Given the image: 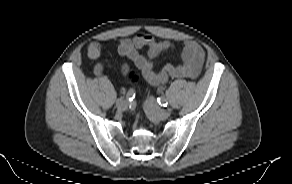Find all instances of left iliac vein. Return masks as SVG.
I'll list each match as a JSON object with an SVG mask.
<instances>
[{
    "label": "left iliac vein",
    "instance_id": "4c4485c4",
    "mask_svg": "<svg viewBox=\"0 0 292 184\" xmlns=\"http://www.w3.org/2000/svg\"><path fill=\"white\" fill-rule=\"evenodd\" d=\"M143 106L144 109L155 119L164 120L170 116V110L160 108L153 97H148Z\"/></svg>",
    "mask_w": 292,
    "mask_h": 184
}]
</instances>
